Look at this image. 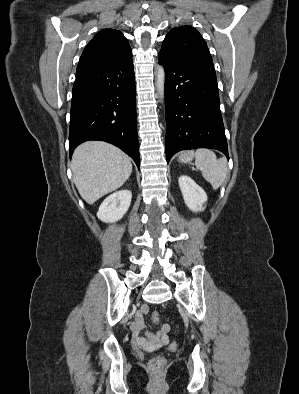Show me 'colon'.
<instances>
[{"label":"colon","mask_w":299,"mask_h":394,"mask_svg":"<svg viewBox=\"0 0 299 394\" xmlns=\"http://www.w3.org/2000/svg\"><path fill=\"white\" fill-rule=\"evenodd\" d=\"M155 316H157V315H155ZM170 347L172 349H175L177 347V344L176 343H172L170 345ZM164 364H165L164 357H162V356H155L149 361L148 367H149V369L151 371L157 372L164 366Z\"/></svg>","instance_id":"5ec220e1"}]
</instances>
